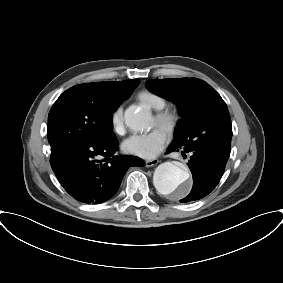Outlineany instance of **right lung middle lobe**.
<instances>
[{"mask_svg":"<svg viewBox=\"0 0 283 283\" xmlns=\"http://www.w3.org/2000/svg\"><path fill=\"white\" fill-rule=\"evenodd\" d=\"M121 103L102 106L78 86L69 88L60 95L49 112V144L51 147L80 141L102 144L115 138L112 113Z\"/></svg>","mask_w":283,"mask_h":283,"instance_id":"dd1d6c3e","label":"right lung middle lobe"}]
</instances>
